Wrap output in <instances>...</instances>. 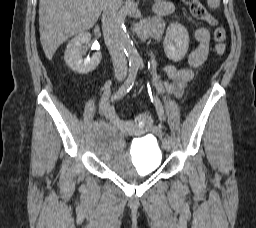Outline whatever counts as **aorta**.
<instances>
[{"mask_svg":"<svg viewBox=\"0 0 256 228\" xmlns=\"http://www.w3.org/2000/svg\"><path fill=\"white\" fill-rule=\"evenodd\" d=\"M134 6L133 0H126L124 5L122 6L119 14H118V22H119V36L124 49L126 56L128 57L129 63L131 66H137L142 63V59L138 54L133 41L131 40L126 27H125V19L127 15L131 12Z\"/></svg>","mask_w":256,"mask_h":228,"instance_id":"obj_1","label":"aorta"}]
</instances>
